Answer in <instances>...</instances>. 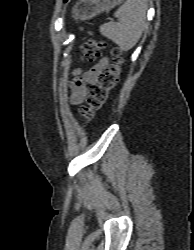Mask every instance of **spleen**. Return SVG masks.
I'll list each match as a JSON object with an SVG mask.
<instances>
[{"label":"spleen","mask_w":194,"mask_h":250,"mask_svg":"<svg viewBox=\"0 0 194 250\" xmlns=\"http://www.w3.org/2000/svg\"><path fill=\"white\" fill-rule=\"evenodd\" d=\"M146 11L147 0H126L114 13L119 22L105 23L99 27V31L121 49L129 50L142 36Z\"/></svg>","instance_id":"spleen-1"}]
</instances>
